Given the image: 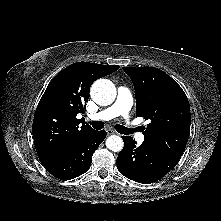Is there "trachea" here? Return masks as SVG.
<instances>
[{"label":"trachea","mask_w":221,"mask_h":221,"mask_svg":"<svg viewBox=\"0 0 221 221\" xmlns=\"http://www.w3.org/2000/svg\"><path fill=\"white\" fill-rule=\"evenodd\" d=\"M92 125V127L96 130H100L104 127V123L101 122V121H93L90 123ZM116 130L121 133V134H131L132 133V130L129 129V128H126L122 125H116L115 126Z\"/></svg>","instance_id":"3493384b"}]
</instances>
